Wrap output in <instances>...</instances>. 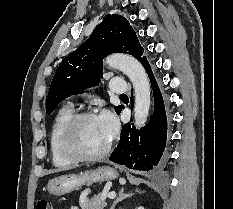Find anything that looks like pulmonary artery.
Here are the masks:
<instances>
[{
	"label": "pulmonary artery",
	"instance_id": "e3ab8cb5",
	"mask_svg": "<svg viewBox=\"0 0 233 209\" xmlns=\"http://www.w3.org/2000/svg\"><path fill=\"white\" fill-rule=\"evenodd\" d=\"M110 88L113 92L123 94L127 91L125 82L119 77H113L110 80Z\"/></svg>",
	"mask_w": 233,
	"mask_h": 209
}]
</instances>
